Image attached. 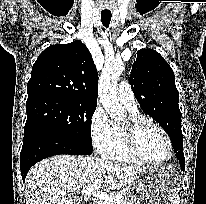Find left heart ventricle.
Here are the masks:
<instances>
[{"mask_svg": "<svg viewBox=\"0 0 206 204\" xmlns=\"http://www.w3.org/2000/svg\"><path fill=\"white\" fill-rule=\"evenodd\" d=\"M139 144L143 153L151 160L162 161L169 154L164 136L151 126H147L141 131Z\"/></svg>", "mask_w": 206, "mask_h": 204, "instance_id": "b2bd125f", "label": "left heart ventricle"}]
</instances>
